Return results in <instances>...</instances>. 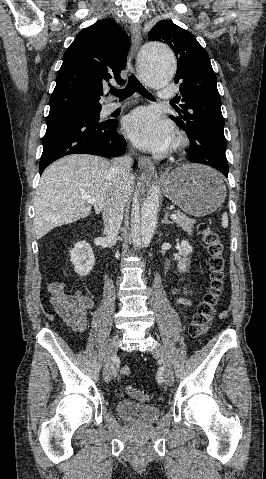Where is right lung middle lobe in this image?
Returning a JSON list of instances; mask_svg holds the SVG:
<instances>
[{
    "instance_id": "obj_1",
    "label": "right lung middle lobe",
    "mask_w": 266,
    "mask_h": 479,
    "mask_svg": "<svg viewBox=\"0 0 266 479\" xmlns=\"http://www.w3.org/2000/svg\"><path fill=\"white\" fill-rule=\"evenodd\" d=\"M100 111H101V107L75 108V109L67 110V112H72V113L88 116L97 121L99 120Z\"/></svg>"
}]
</instances>
